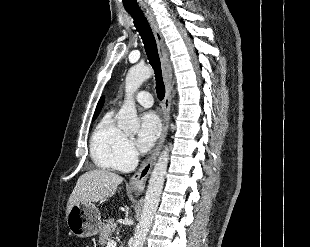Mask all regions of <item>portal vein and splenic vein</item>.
I'll list each match as a JSON object with an SVG mask.
<instances>
[{"mask_svg":"<svg viewBox=\"0 0 310 247\" xmlns=\"http://www.w3.org/2000/svg\"><path fill=\"white\" fill-rule=\"evenodd\" d=\"M117 243L114 240H111L107 243V247H116Z\"/></svg>","mask_w":310,"mask_h":247,"instance_id":"obj_1","label":"portal vein and splenic vein"}]
</instances>
